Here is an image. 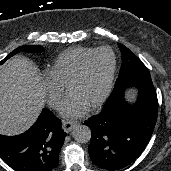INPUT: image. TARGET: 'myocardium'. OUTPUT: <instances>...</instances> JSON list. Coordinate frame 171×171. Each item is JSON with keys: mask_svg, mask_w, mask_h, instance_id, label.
<instances>
[{"mask_svg": "<svg viewBox=\"0 0 171 171\" xmlns=\"http://www.w3.org/2000/svg\"><path fill=\"white\" fill-rule=\"evenodd\" d=\"M102 51H107L111 54L112 56V67H111V72L109 75V79L106 85V88L102 94V96L91 106V109H96L98 107H100L110 96L113 86H114V81H115V77H116V71H117V56L115 54V52L108 46H102L99 48L94 49L82 62L81 64L78 66L77 70L75 71V73L73 74V76L71 77L69 83H68V89L70 88V86L76 82L78 79H80L82 77V75L85 72V69L88 65V63L90 62V60L98 53L102 52Z\"/></svg>", "mask_w": 171, "mask_h": 171, "instance_id": "myocardium-1", "label": "myocardium"}]
</instances>
